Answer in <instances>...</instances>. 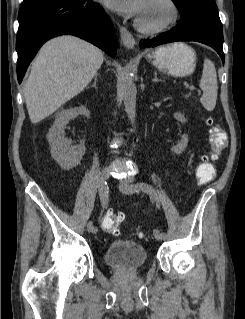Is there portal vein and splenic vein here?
Masks as SVG:
<instances>
[{"instance_id":"obj_1","label":"portal vein and splenic vein","mask_w":245,"mask_h":319,"mask_svg":"<svg viewBox=\"0 0 245 319\" xmlns=\"http://www.w3.org/2000/svg\"><path fill=\"white\" fill-rule=\"evenodd\" d=\"M189 89L190 90H194L195 88H194V86H190Z\"/></svg>"}]
</instances>
